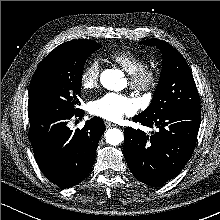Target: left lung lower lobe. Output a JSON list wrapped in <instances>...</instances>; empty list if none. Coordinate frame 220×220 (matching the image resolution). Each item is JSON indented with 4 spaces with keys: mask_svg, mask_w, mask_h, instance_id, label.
<instances>
[{
    "mask_svg": "<svg viewBox=\"0 0 220 220\" xmlns=\"http://www.w3.org/2000/svg\"><path fill=\"white\" fill-rule=\"evenodd\" d=\"M133 121L159 129L151 136L140 129L124 130L123 152L135 178L158 186L176 177L194 150L201 111L173 110L152 118L136 115Z\"/></svg>",
    "mask_w": 220,
    "mask_h": 220,
    "instance_id": "obj_1",
    "label": "left lung lower lobe"
}]
</instances>
